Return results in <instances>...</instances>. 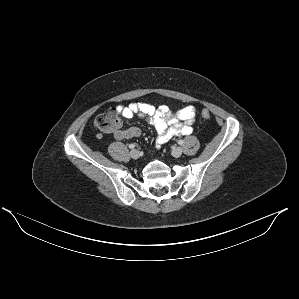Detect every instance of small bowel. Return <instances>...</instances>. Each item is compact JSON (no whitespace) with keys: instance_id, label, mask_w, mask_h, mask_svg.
I'll return each mask as SVG.
<instances>
[{"instance_id":"1","label":"small bowel","mask_w":299,"mask_h":299,"mask_svg":"<svg viewBox=\"0 0 299 299\" xmlns=\"http://www.w3.org/2000/svg\"><path fill=\"white\" fill-rule=\"evenodd\" d=\"M116 110L125 118L139 115L152 124L157 132L156 147L160 149L171 138L192 133V123L196 111L192 106H187L176 113H172L168 106L161 105L158 108L153 105L136 102L128 105H117ZM141 135L138 127L119 129L114 133L117 140L137 138Z\"/></svg>"}]
</instances>
